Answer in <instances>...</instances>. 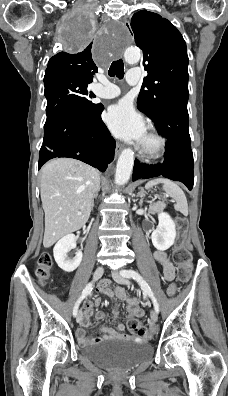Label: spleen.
I'll list each match as a JSON object with an SVG mask.
<instances>
[{
	"instance_id": "spleen-1",
	"label": "spleen",
	"mask_w": 228,
	"mask_h": 396,
	"mask_svg": "<svg viewBox=\"0 0 228 396\" xmlns=\"http://www.w3.org/2000/svg\"><path fill=\"white\" fill-rule=\"evenodd\" d=\"M157 184H163V190L166 192V195L174 199V201L176 202L174 206L175 210L187 216L188 204H187L186 196L182 191V189L177 184L166 178L152 179L149 182H147L145 187L149 189Z\"/></svg>"
}]
</instances>
